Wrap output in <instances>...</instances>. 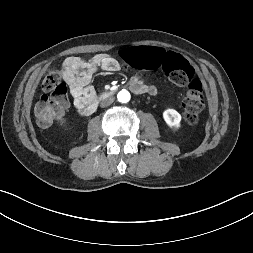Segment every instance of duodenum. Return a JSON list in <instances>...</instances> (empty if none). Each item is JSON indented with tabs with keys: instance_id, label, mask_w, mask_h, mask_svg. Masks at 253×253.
<instances>
[{
	"instance_id": "obj_1",
	"label": "duodenum",
	"mask_w": 253,
	"mask_h": 253,
	"mask_svg": "<svg viewBox=\"0 0 253 253\" xmlns=\"http://www.w3.org/2000/svg\"><path fill=\"white\" fill-rule=\"evenodd\" d=\"M115 93H116L115 89L109 90L101 95V99L111 97ZM98 101H99L98 99H95V100L89 102L88 104L82 106L81 108H79V112L83 115H90V114L94 113L97 106H98Z\"/></svg>"
}]
</instances>
